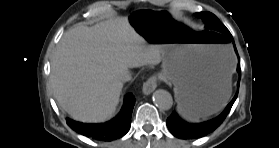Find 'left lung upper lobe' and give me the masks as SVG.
<instances>
[{
  "instance_id": "left-lung-upper-lobe-1",
  "label": "left lung upper lobe",
  "mask_w": 279,
  "mask_h": 148,
  "mask_svg": "<svg viewBox=\"0 0 279 148\" xmlns=\"http://www.w3.org/2000/svg\"><path fill=\"white\" fill-rule=\"evenodd\" d=\"M197 16H199L203 20L207 29L226 35L230 34L228 29L219 21V19L214 14L210 12H199L197 13Z\"/></svg>"
}]
</instances>
